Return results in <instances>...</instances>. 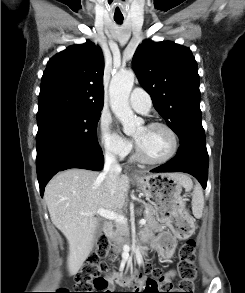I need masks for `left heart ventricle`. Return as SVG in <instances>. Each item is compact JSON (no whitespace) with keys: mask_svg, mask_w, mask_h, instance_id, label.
<instances>
[{"mask_svg":"<svg viewBox=\"0 0 245 293\" xmlns=\"http://www.w3.org/2000/svg\"><path fill=\"white\" fill-rule=\"evenodd\" d=\"M141 152L150 159H160L171 150V137L161 128L140 127L135 132Z\"/></svg>","mask_w":245,"mask_h":293,"instance_id":"obj_1","label":"left heart ventricle"}]
</instances>
